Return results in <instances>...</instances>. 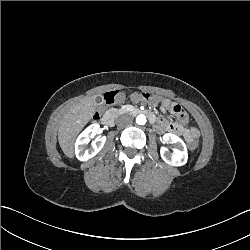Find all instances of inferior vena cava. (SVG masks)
<instances>
[{"mask_svg": "<svg viewBox=\"0 0 250 250\" xmlns=\"http://www.w3.org/2000/svg\"><path fill=\"white\" fill-rule=\"evenodd\" d=\"M133 123V116L130 115L129 113H124L121 114L117 119H116V124L118 126H126L130 125Z\"/></svg>", "mask_w": 250, "mask_h": 250, "instance_id": "inferior-vena-cava-1", "label": "inferior vena cava"}]
</instances>
